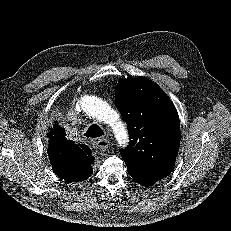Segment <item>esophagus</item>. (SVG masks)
Instances as JSON below:
<instances>
[{
  "label": "esophagus",
  "instance_id": "obj_1",
  "mask_svg": "<svg viewBox=\"0 0 231 231\" xmlns=\"http://www.w3.org/2000/svg\"><path fill=\"white\" fill-rule=\"evenodd\" d=\"M110 145L109 140L107 139H98L95 142V149L99 151H106Z\"/></svg>",
  "mask_w": 231,
  "mask_h": 231
}]
</instances>
